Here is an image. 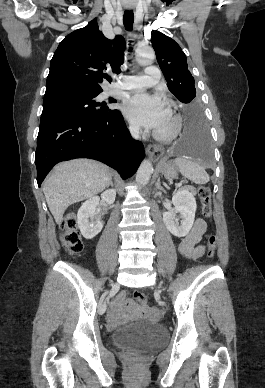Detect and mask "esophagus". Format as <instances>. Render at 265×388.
I'll return each instance as SVG.
<instances>
[{
    "label": "esophagus",
    "mask_w": 265,
    "mask_h": 388,
    "mask_svg": "<svg viewBox=\"0 0 265 388\" xmlns=\"http://www.w3.org/2000/svg\"><path fill=\"white\" fill-rule=\"evenodd\" d=\"M164 151L165 149L161 145H148L146 147V152L150 158H160Z\"/></svg>",
    "instance_id": "esophagus-1"
}]
</instances>
